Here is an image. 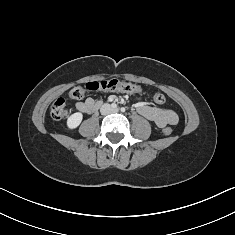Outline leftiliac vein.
<instances>
[{
  "label": "left iliac vein",
  "instance_id": "obj_1",
  "mask_svg": "<svg viewBox=\"0 0 235 235\" xmlns=\"http://www.w3.org/2000/svg\"><path fill=\"white\" fill-rule=\"evenodd\" d=\"M118 111H119L118 108L113 109V112H118Z\"/></svg>",
  "mask_w": 235,
  "mask_h": 235
}]
</instances>
